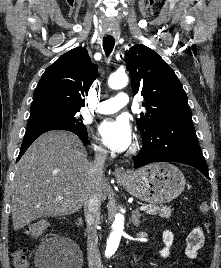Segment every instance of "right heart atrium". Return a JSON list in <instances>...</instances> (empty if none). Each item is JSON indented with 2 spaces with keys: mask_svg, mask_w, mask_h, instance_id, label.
Segmentation results:
<instances>
[{
  "mask_svg": "<svg viewBox=\"0 0 221 268\" xmlns=\"http://www.w3.org/2000/svg\"><path fill=\"white\" fill-rule=\"evenodd\" d=\"M93 148L95 152L99 155H103L105 153V149L97 142L93 143Z\"/></svg>",
  "mask_w": 221,
  "mask_h": 268,
  "instance_id": "obj_1",
  "label": "right heart atrium"
}]
</instances>
